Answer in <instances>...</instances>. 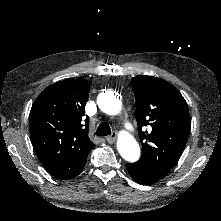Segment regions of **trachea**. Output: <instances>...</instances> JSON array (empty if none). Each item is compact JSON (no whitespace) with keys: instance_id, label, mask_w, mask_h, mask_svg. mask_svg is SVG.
Segmentation results:
<instances>
[{"instance_id":"3493384b","label":"trachea","mask_w":221,"mask_h":221,"mask_svg":"<svg viewBox=\"0 0 221 221\" xmlns=\"http://www.w3.org/2000/svg\"><path fill=\"white\" fill-rule=\"evenodd\" d=\"M111 134V128L108 123L103 122L98 126L95 135L97 136H107Z\"/></svg>"}]
</instances>
